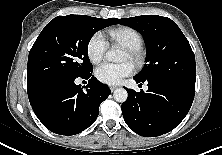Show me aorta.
<instances>
[{"label":"aorta","instance_id":"aorta-1","mask_svg":"<svg viewBox=\"0 0 222 155\" xmlns=\"http://www.w3.org/2000/svg\"><path fill=\"white\" fill-rule=\"evenodd\" d=\"M106 58L108 61L119 62L122 58V51L117 48H112L107 51ZM114 100L123 103L127 100L128 94L124 88H118L113 93Z\"/></svg>","mask_w":222,"mask_h":155}]
</instances>
